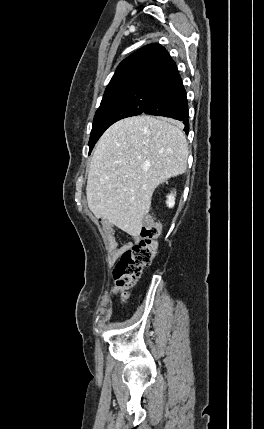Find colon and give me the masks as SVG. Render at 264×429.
Here are the masks:
<instances>
[{
	"mask_svg": "<svg viewBox=\"0 0 264 429\" xmlns=\"http://www.w3.org/2000/svg\"><path fill=\"white\" fill-rule=\"evenodd\" d=\"M160 235V224L150 217L146 218L138 243L119 256L113 268L115 281L113 291L121 300L127 298L128 290L136 283L143 268L151 263L158 247Z\"/></svg>",
	"mask_w": 264,
	"mask_h": 429,
	"instance_id": "1",
	"label": "colon"
}]
</instances>
